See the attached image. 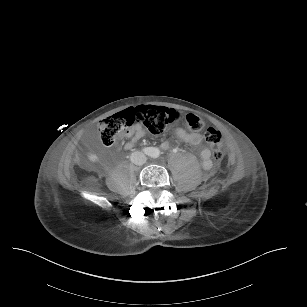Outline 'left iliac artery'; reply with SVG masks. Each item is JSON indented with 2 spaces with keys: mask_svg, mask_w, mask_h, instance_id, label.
Wrapping results in <instances>:
<instances>
[{
  "mask_svg": "<svg viewBox=\"0 0 307 307\" xmlns=\"http://www.w3.org/2000/svg\"><path fill=\"white\" fill-rule=\"evenodd\" d=\"M149 156L151 158L156 159V158H158L160 156V151L158 149H156V148H153L152 152H151V154Z\"/></svg>",
  "mask_w": 307,
  "mask_h": 307,
  "instance_id": "1",
  "label": "left iliac artery"
}]
</instances>
